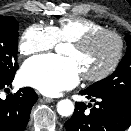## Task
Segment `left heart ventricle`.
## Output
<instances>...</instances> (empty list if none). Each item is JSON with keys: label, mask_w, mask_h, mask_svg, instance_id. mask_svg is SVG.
<instances>
[{"label": "left heart ventricle", "mask_w": 131, "mask_h": 131, "mask_svg": "<svg viewBox=\"0 0 131 131\" xmlns=\"http://www.w3.org/2000/svg\"><path fill=\"white\" fill-rule=\"evenodd\" d=\"M116 48V40L104 35L93 39L84 47L68 45L65 55L75 60L81 73L97 74L111 63Z\"/></svg>", "instance_id": "b2bd125f"}]
</instances>
